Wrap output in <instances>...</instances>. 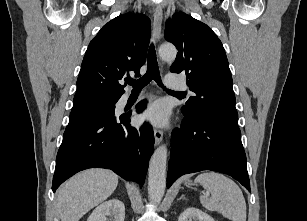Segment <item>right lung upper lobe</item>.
<instances>
[{"label": "right lung upper lobe", "mask_w": 307, "mask_h": 221, "mask_svg": "<svg viewBox=\"0 0 307 221\" xmlns=\"http://www.w3.org/2000/svg\"><path fill=\"white\" fill-rule=\"evenodd\" d=\"M150 40V20L127 13L109 21L90 42L77 79L73 105L118 100L120 80L129 71L139 75Z\"/></svg>", "instance_id": "cb5924a9"}]
</instances>
